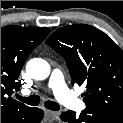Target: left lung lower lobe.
Listing matches in <instances>:
<instances>
[{
  "label": "left lung lower lobe",
  "mask_w": 123,
  "mask_h": 123,
  "mask_svg": "<svg viewBox=\"0 0 123 123\" xmlns=\"http://www.w3.org/2000/svg\"><path fill=\"white\" fill-rule=\"evenodd\" d=\"M60 118L69 123H123V115L94 107H87L79 117L74 112L67 111Z\"/></svg>",
  "instance_id": "obj_1"
}]
</instances>
